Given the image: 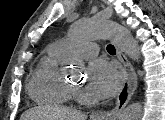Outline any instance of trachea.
Instances as JSON below:
<instances>
[{"label": "trachea", "mask_w": 165, "mask_h": 120, "mask_svg": "<svg viewBox=\"0 0 165 120\" xmlns=\"http://www.w3.org/2000/svg\"><path fill=\"white\" fill-rule=\"evenodd\" d=\"M107 51H108L109 54H115L116 53L115 47L111 44H109L107 46Z\"/></svg>", "instance_id": "1"}]
</instances>
